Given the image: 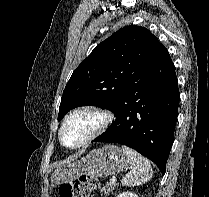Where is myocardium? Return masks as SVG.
<instances>
[{
	"mask_svg": "<svg viewBox=\"0 0 209 197\" xmlns=\"http://www.w3.org/2000/svg\"><path fill=\"white\" fill-rule=\"evenodd\" d=\"M86 111L96 113L100 117V123L80 143L73 146L65 145L62 140V133L64 127L69 122V120L72 119L75 115ZM113 118V113L105 107H102L95 103L82 104L71 110L67 115H65L58 131V140L60 144L67 149H79L81 147L86 146L87 144L101 136L104 132H106V130L110 127L111 123L113 122Z\"/></svg>",
	"mask_w": 209,
	"mask_h": 197,
	"instance_id": "1",
	"label": "myocardium"
}]
</instances>
